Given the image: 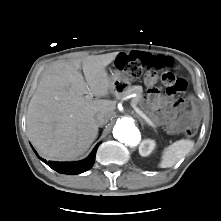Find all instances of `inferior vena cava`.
Here are the masks:
<instances>
[{"label": "inferior vena cava", "instance_id": "602c4592", "mask_svg": "<svg viewBox=\"0 0 221 221\" xmlns=\"http://www.w3.org/2000/svg\"><path fill=\"white\" fill-rule=\"evenodd\" d=\"M109 121V118L103 114H97L96 115V122L98 126H103Z\"/></svg>", "mask_w": 221, "mask_h": 221}]
</instances>
